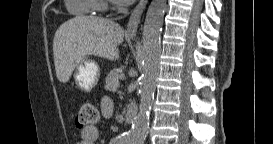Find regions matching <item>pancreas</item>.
<instances>
[{"label": "pancreas", "instance_id": "1", "mask_svg": "<svg viewBox=\"0 0 273 144\" xmlns=\"http://www.w3.org/2000/svg\"><path fill=\"white\" fill-rule=\"evenodd\" d=\"M120 75L121 72H119L117 69L111 70L105 79V89L109 91H116L119 87Z\"/></svg>", "mask_w": 273, "mask_h": 144}]
</instances>
